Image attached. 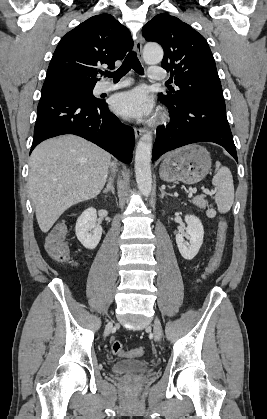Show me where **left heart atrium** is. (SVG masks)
Here are the masks:
<instances>
[{
  "instance_id": "39dd6f15",
  "label": "left heart atrium",
  "mask_w": 267,
  "mask_h": 419,
  "mask_svg": "<svg viewBox=\"0 0 267 419\" xmlns=\"http://www.w3.org/2000/svg\"><path fill=\"white\" fill-rule=\"evenodd\" d=\"M154 103L148 91L139 87L119 93L112 99V109L119 115L144 119L153 112Z\"/></svg>"
}]
</instances>
